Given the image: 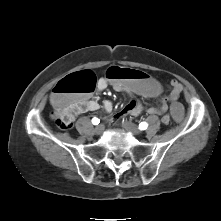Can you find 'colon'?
<instances>
[{
    "label": "colon",
    "mask_w": 221,
    "mask_h": 221,
    "mask_svg": "<svg viewBox=\"0 0 221 221\" xmlns=\"http://www.w3.org/2000/svg\"><path fill=\"white\" fill-rule=\"evenodd\" d=\"M105 78L111 84L121 83L135 93L151 100L158 99L160 94L166 92L162 80L145 71L111 66L108 68ZM95 86L96 76L89 70L71 74L56 84L51 94V102L54 107L55 125L58 129L64 130L72 125L79 108L78 98L93 91ZM169 112L173 124L180 125L184 122L186 108L182 102L171 101Z\"/></svg>",
    "instance_id": "1"
}]
</instances>
